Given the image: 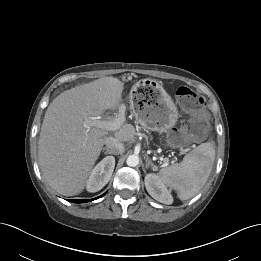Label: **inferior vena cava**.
<instances>
[{
	"label": "inferior vena cava",
	"mask_w": 261,
	"mask_h": 261,
	"mask_svg": "<svg viewBox=\"0 0 261 261\" xmlns=\"http://www.w3.org/2000/svg\"><path fill=\"white\" fill-rule=\"evenodd\" d=\"M104 144L106 149L109 150L112 154H122L124 153V145L119 140L114 137H106L104 139Z\"/></svg>",
	"instance_id": "inferior-vena-cava-1"
}]
</instances>
